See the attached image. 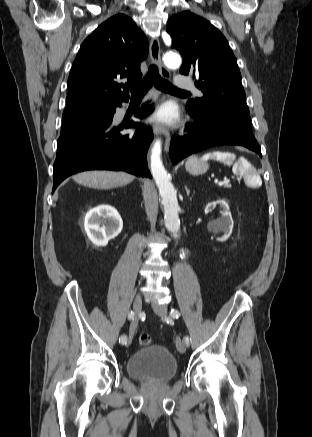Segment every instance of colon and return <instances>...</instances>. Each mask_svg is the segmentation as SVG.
Returning <instances> with one entry per match:
<instances>
[{
  "mask_svg": "<svg viewBox=\"0 0 312 437\" xmlns=\"http://www.w3.org/2000/svg\"><path fill=\"white\" fill-rule=\"evenodd\" d=\"M138 341L141 345H149L151 343V336L147 333H141L138 337Z\"/></svg>",
  "mask_w": 312,
  "mask_h": 437,
  "instance_id": "obj_1",
  "label": "colon"
}]
</instances>
